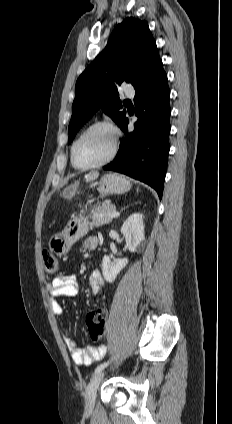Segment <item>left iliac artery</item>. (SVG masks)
I'll return each mask as SVG.
<instances>
[{"mask_svg":"<svg viewBox=\"0 0 232 424\" xmlns=\"http://www.w3.org/2000/svg\"><path fill=\"white\" fill-rule=\"evenodd\" d=\"M108 364H109V361L108 362H104V363L100 364L99 366H97V368L95 369L94 374H97L100 371H102L105 367L108 366Z\"/></svg>","mask_w":232,"mask_h":424,"instance_id":"left-iliac-artery-1","label":"left iliac artery"}]
</instances>
